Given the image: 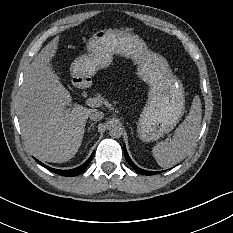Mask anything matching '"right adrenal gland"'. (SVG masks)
<instances>
[{
	"label": "right adrenal gland",
	"mask_w": 233,
	"mask_h": 233,
	"mask_svg": "<svg viewBox=\"0 0 233 233\" xmlns=\"http://www.w3.org/2000/svg\"><path fill=\"white\" fill-rule=\"evenodd\" d=\"M96 123H97V121L91 123L90 126L88 127V131H90L91 128L94 129V125H95Z\"/></svg>",
	"instance_id": "obj_1"
}]
</instances>
